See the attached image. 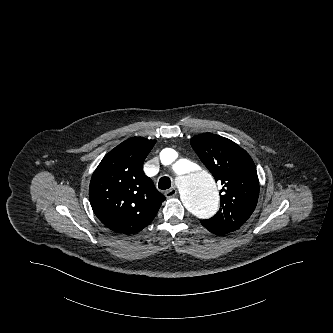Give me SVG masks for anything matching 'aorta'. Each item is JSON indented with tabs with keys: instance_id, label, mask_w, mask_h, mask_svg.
<instances>
[{
	"instance_id": "1",
	"label": "aorta",
	"mask_w": 333,
	"mask_h": 333,
	"mask_svg": "<svg viewBox=\"0 0 333 333\" xmlns=\"http://www.w3.org/2000/svg\"><path fill=\"white\" fill-rule=\"evenodd\" d=\"M177 158V152L166 148L160 154L163 164L172 165L177 174L181 201L199 219L212 217L219 208V193L214 178L188 159Z\"/></svg>"
}]
</instances>
